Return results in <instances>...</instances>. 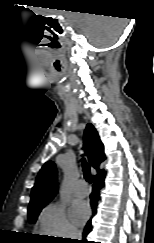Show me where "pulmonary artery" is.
Returning <instances> with one entry per match:
<instances>
[{
    "label": "pulmonary artery",
    "mask_w": 154,
    "mask_h": 243,
    "mask_svg": "<svg viewBox=\"0 0 154 243\" xmlns=\"http://www.w3.org/2000/svg\"><path fill=\"white\" fill-rule=\"evenodd\" d=\"M89 192L88 187L85 184V181L81 180L77 183L76 187L74 188V195L78 197L86 196Z\"/></svg>",
    "instance_id": "e3ab8cb5"
}]
</instances>
